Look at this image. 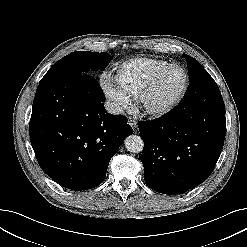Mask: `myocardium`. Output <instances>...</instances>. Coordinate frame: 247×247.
<instances>
[{
    "label": "myocardium",
    "instance_id": "f54148a6",
    "mask_svg": "<svg viewBox=\"0 0 247 247\" xmlns=\"http://www.w3.org/2000/svg\"><path fill=\"white\" fill-rule=\"evenodd\" d=\"M171 68H179L182 70L184 74V83H183L181 90L168 104L161 106V107H157V108L150 107L147 104V98L149 94L156 86L159 78ZM188 86H189V75H188L187 70L180 64H168L158 69L157 71H155L153 75L147 80V82L140 88V90L138 91L136 95L137 104L139 108L145 114L149 116H152V117L165 116L169 114L170 112H172L178 106V104L182 101L184 95L187 92Z\"/></svg>",
    "mask_w": 247,
    "mask_h": 247
}]
</instances>
